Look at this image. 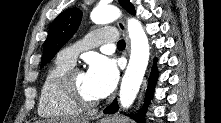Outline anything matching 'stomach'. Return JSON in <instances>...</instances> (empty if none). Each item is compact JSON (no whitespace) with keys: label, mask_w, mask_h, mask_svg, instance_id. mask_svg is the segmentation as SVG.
Returning a JSON list of instances; mask_svg holds the SVG:
<instances>
[{"label":"stomach","mask_w":221,"mask_h":123,"mask_svg":"<svg viewBox=\"0 0 221 123\" xmlns=\"http://www.w3.org/2000/svg\"><path fill=\"white\" fill-rule=\"evenodd\" d=\"M98 123H123L122 120L116 118V117H107L101 119Z\"/></svg>","instance_id":"1"}]
</instances>
